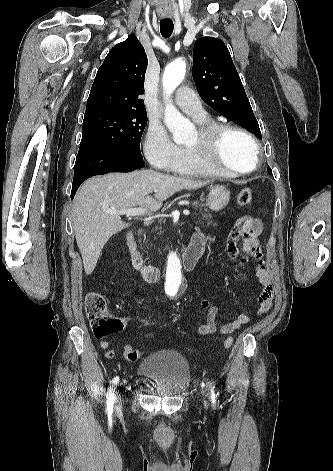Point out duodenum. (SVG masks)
<instances>
[{
	"label": "duodenum",
	"instance_id": "410a0bca",
	"mask_svg": "<svg viewBox=\"0 0 333 471\" xmlns=\"http://www.w3.org/2000/svg\"><path fill=\"white\" fill-rule=\"evenodd\" d=\"M126 243L132 266L142 274L143 278L147 282H157L160 278V270L158 267L144 262L143 256L137 247L135 235L132 231L127 234ZM204 250L205 243L203 240L192 239L181 259L183 269L186 271L193 270Z\"/></svg>",
	"mask_w": 333,
	"mask_h": 471
}]
</instances>
